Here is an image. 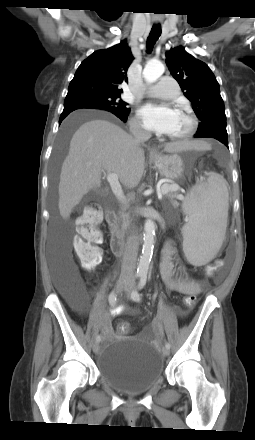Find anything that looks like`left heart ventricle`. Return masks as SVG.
<instances>
[{
	"instance_id": "b2bd125f",
	"label": "left heart ventricle",
	"mask_w": 255,
	"mask_h": 440,
	"mask_svg": "<svg viewBox=\"0 0 255 440\" xmlns=\"http://www.w3.org/2000/svg\"><path fill=\"white\" fill-rule=\"evenodd\" d=\"M189 126V120L187 116L181 112L177 111L176 121L173 131L169 135H179L183 133Z\"/></svg>"
}]
</instances>
